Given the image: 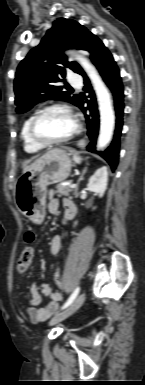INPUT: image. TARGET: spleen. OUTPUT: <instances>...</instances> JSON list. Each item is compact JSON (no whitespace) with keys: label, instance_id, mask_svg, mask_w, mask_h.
Instances as JSON below:
<instances>
[{"label":"spleen","instance_id":"spleen-1","mask_svg":"<svg viewBox=\"0 0 145 385\" xmlns=\"http://www.w3.org/2000/svg\"><path fill=\"white\" fill-rule=\"evenodd\" d=\"M73 159L77 164H80L82 162V158L78 155H73Z\"/></svg>","mask_w":145,"mask_h":385}]
</instances>
